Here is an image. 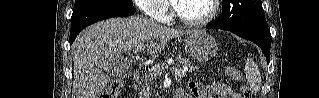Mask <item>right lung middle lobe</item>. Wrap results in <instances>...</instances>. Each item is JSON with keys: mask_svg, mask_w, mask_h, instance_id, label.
Returning <instances> with one entry per match:
<instances>
[{"mask_svg": "<svg viewBox=\"0 0 319 98\" xmlns=\"http://www.w3.org/2000/svg\"><path fill=\"white\" fill-rule=\"evenodd\" d=\"M114 4L126 7H133L132 0H75L74 9H79L88 6Z\"/></svg>", "mask_w": 319, "mask_h": 98, "instance_id": "1", "label": "right lung middle lobe"}]
</instances>
